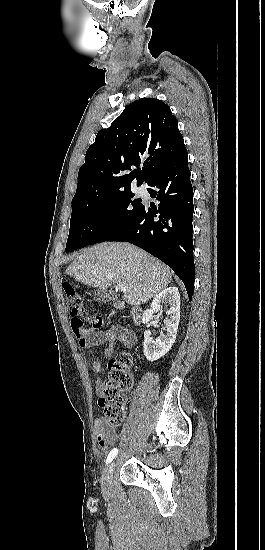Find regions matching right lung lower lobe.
Returning <instances> with one entry per match:
<instances>
[{"mask_svg": "<svg viewBox=\"0 0 265 550\" xmlns=\"http://www.w3.org/2000/svg\"><path fill=\"white\" fill-rule=\"evenodd\" d=\"M158 208L144 206L131 222L105 241L132 243L169 265L183 281L192 299L195 272L193 259V188L185 148L149 183Z\"/></svg>", "mask_w": 265, "mask_h": 550, "instance_id": "98d812e1", "label": "right lung lower lobe"}]
</instances>
